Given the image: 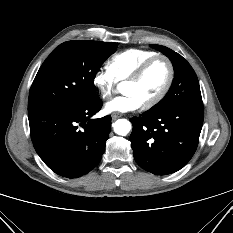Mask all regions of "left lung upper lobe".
Returning <instances> with one entry per match:
<instances>
[{
  "mask_svg": "<svg viewBox=\"0 0 233 233\" xmlns=\"http://www.w3.org/2000/svg\"><path fill=\"white\" fill-rule=\"evenodd\" d=\"M151 47L161 51L171 60L175 76L166 96L148 111L160 112L180 105L203 106L199 82L190 64L180 54L165 46Z\"/></svg>",
  "mask_w": 233,
  "mask_h": 233,
  "instance_id": "left-lung-upper-lobe-1",
  "label": "left lung upper lobe"
}]
</instances>
